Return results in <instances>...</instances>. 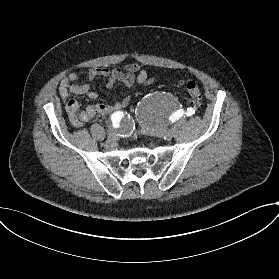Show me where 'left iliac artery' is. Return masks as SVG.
Masks as SVG:
<instances>
[{
  "label": "left iliac artery",
  "mask_w": 279,
  "mask_h": 279,
  "mask_svg": "<svg viewBox=\"0 0 279 279\" xmlns=\"http://www.w3.org/2000/svg\"><path fill=\"white\" fill-rule=\"evenodd\" d=\"M195 113V110L193 108H187L186 111V115L187 116H192ZM183 115V111L182 110H178L177 112H175V114H173L170 119H172L173 122H175V120L179 119L180 117H182Z\"/></svg>",
  "instance_id": "1"
}]
</instances>
